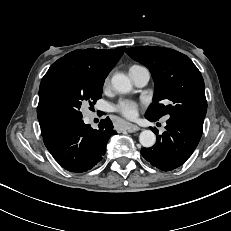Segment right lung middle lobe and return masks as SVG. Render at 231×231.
Segmentation results:
<instances>
[{
	"instance_id": "1",
	"label": "right lung middle lobe",
	"mask_w": 231,
	"mask_h": 231,
	"mask_svg": "<svg viewBox=\"0 0 231 231\" xmlns=\"http://www.w3.org/2000/svg\"><path fill=\"white\" fill-rule=\"evenodd\" d=\"M105 78L88 70L66 69L52 79L48 99L62 123L82 119L81 105L101 98Z\"/></svg>"
}]
</instances>
